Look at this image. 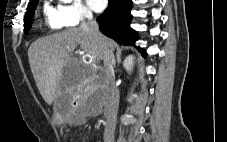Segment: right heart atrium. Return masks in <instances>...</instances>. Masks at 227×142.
<instances>
[{
  "label": "right heart atrium",
  "instance_id": "right-heart-atrium-1",
  "mask_svg": "<svg viewBox=\"0 0 227 142\" xmlns=\"http://www.w3.org/2000/svg\"><path fill=\"white\" fill-rule=\"evenodd\" d=\"M58 9L61 19L66 26H80L93 19L91 10L80 0H75L69 4H60Z\"/></svg>",
  "mask_w": 227,
  "mask_h": 142
}]
</instances>
